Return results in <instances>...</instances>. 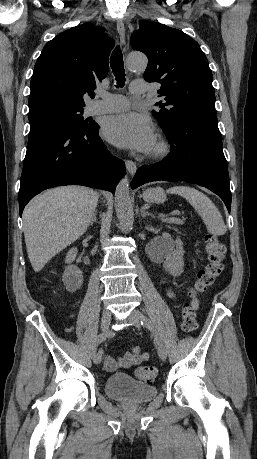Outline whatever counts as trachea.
Wrapping results in <instances>:
<instances>
[{
	"mask_svg": "<svg viewBox=\"0 0 257 459\" xmlns=\"http://www.w3.org/2000/svg\"><path fill=\"white\" fill-rule=\"evenodd\" d=\"M110 66L115 76L117 86L123 87L125 84V70L123 55L119 46L115 48L110 58Z\"/></svg>",
	"mask_w": 257,
	"mask_h": 459,
	"instance_id": "3493384b",
	"label": "trachea"
}]
</instances>
